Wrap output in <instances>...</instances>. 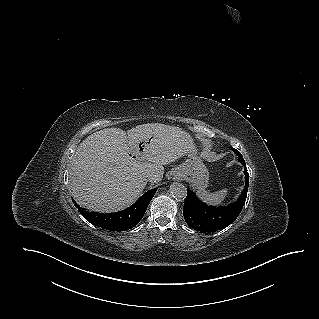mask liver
Segmentation results:
<instances>
[{
	"mask_svg": "<svg viewBox=\"0 0 319 319\" xmlns=\"http://www.w3.org/2000/svg\"><path fill=\"white\" fill-rule=\"evenodd\" d=\"M143 150L138 159L128 152ZM196 154L190 134L160 123L138 125L127 133L106 128L86 137L71 161L72 196L82 207L97 212H115L132 204L146 187L163 178V165Z\"/></svg>",
	"mask_w": 319,
	"mask_h": 319,
	"instance_id": "liver-1",
	"label": "liver"
}]
</instances>
